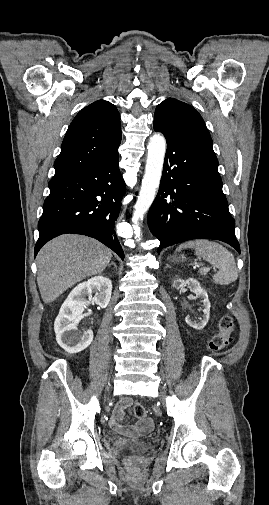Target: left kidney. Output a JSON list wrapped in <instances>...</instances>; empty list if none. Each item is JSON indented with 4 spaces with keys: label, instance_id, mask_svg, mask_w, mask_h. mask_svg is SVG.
Returning <instances> with one entry per match:
<instances>
[{
    "label": "left kidney",
    "instance_id": "obj_1",
    "mask_svg": "<svg viewBox=\"0 0 269 505\" xmlns=\"http://www.w3.org/2000/svg\"><path fill=\"white\" fill-rule=\"evenodd\" d=\"M182 286H187L191 292L195 293L197 297H200L203 302V316L200 318L199 322H196L190 319L189 316L185 317V322L192 328L196 330H201L208 323L209 315H210V301L208 298V294L205 289H203L200 283L194 279L189 278L187 280L176 279L173 282V287L179 289Z\"/></svg>",
    "mask_w": 269,
    "mask_h": 505
}]
</instances>
